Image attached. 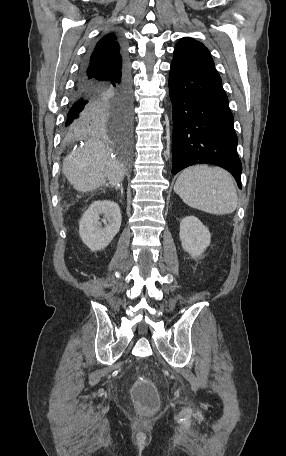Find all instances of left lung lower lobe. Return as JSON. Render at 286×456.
<instances>
[{
	"label": "left lung lower lobe",
	"instance_id": "0a47b994",
	"mask_svg": "<svg viewBox=\"0 0 286 456\" xmlns=\"http://www.w3.org/2000/svg\"><path fill=\"white\" fill-rule=\"evenodd\" d=\"M169 91L173 104L172 174L198 163L228 170L241 189L234 118L221 78L172 61Z\"/></svg>",
	"mask_w": 286,
	"mask_h": 456
}]
</instances>
